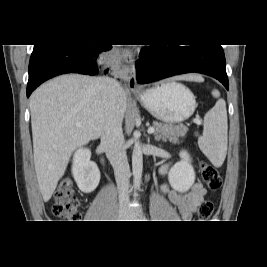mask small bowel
<instances>
[{"label":"small bowel","mask_w":267,"mask_h":267,"mask_svg":"<svg viewBox=\"0 0 267 267\" xmlns=\"http://www.w3.org/2000/svg\"><path fill=\"white\" fill-rule=\"evenodd\" d=\"M168 167V165L163 166L160 170L161 174H166ZM162 191L168 194L171 202L179 209L182 219L186 221L192 218L205 195V188L199 183L194 184L187 193L169 190L166 184L162 185Z\"/></svg>","instance_id":"1"}]
</instances>
